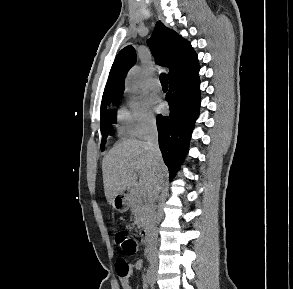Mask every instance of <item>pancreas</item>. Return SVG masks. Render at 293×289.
Returning a JSON list of instances; mask_svg holds the SVG:
<instances>
[{
    "instance_id": "obj_1",
    "label": "pancreas",
    "mask_w": 293,
    "mask_h": 289,
    "mask_svg": "<svg viewBox=\"0 0 293 289\" xmlns=\"http://www.w3.org/2000/svg\"><path fill=\"white\" fill-rule=\"evenodd\" d=\"M129 204L131 205V212L135 218V224L138 228L142 227L146 220L147 204L144 194L132 192L129 197Z\"/></svg>"
}]
</instances>
